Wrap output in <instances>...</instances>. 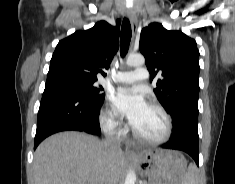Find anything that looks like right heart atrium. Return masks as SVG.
<instances>
[{
  "instance_id": "right-heart-atrium-1",
  "label": "right heart atrium",
  "mask_w": 235,
  "mask_h": 184,
  "mask_svg": "<svg viewBox=\"0 0 235 184\" xmlns=\"http://www.w3.org/2000/svg\"><path fill=\"white\" fill-rule=\"evenodd\" d=\"M99 118L103 129L108 134L114 136L121 135L123 131L122 123L108 108L101 110Z\"/></svg>"
}]
</instances>
